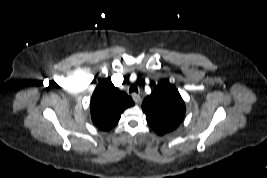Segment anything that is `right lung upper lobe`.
I'll list each match as a JSON object with an SVG mask.
<instances>
[{
    "label": "right lung upper lobe",
    "instance_id": "cb5924a9",
    "mask_svg": "<svg viewBox=\"0 0 267 178\" xmlns=\"http://www.w3.org/2000/svg\"><path fill=\"white\" fill-rule=\"evenodd\" d=\"M133 105L132 98L106 78L98 83L91 98L92 121L100 130L108 131L118 123L122 112Z\"/></svg>",
    "mask_w": 267,
    "mask_h": 178
}]
</instances>
